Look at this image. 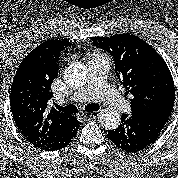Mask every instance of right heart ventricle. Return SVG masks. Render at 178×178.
Instances as JSON below:
<instances>
[{
  "label": "right heart ventricle",
  "mask_w": 178,
  "mask_h": 178,
  "mask_svg": "<svg viewBox=\"0 0 178 178\" xmlns=\"http://www.w3.org/2000/svg\"><path fill=\"white\" fill-rule=\"evenodd\" d=\"M91 56H100V55H99V53H97V52H92V53H90V57H91Z\"/></svg>",
  "instance_id": "right-heart-ventricle-1"
}]
</instances>
